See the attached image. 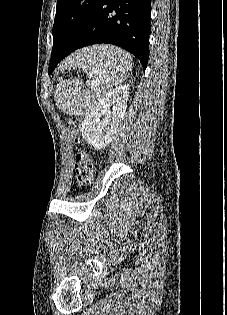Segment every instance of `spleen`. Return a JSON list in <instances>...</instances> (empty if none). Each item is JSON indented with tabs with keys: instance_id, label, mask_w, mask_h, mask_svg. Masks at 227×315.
<instances>
[{
	"instance_id": "3e777b00",
	"label": "spleen",
	"mask_w": 227,
	"mask_h": 315,
	"mask_svg": "<svg viewBox=\"0 0 227 315\" xmlns=\"http://www.w3.org/2000/svg\"><path fill=\"white\" fill-rule=\"evenodd\" d=\"M131 67L130 56L118 47L93 46L76 51L64 61L63 69L81 68L96 78L89 83L90 90H83L79 80L61 81L55 91L56 104L67 114L87 115L105 94L100 83L107 87L122 83Z\"/></svg>"
}]
</instances>
